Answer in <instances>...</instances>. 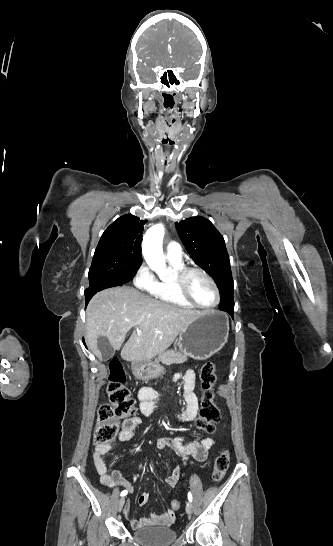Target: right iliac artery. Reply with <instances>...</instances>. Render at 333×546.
<instances>
[{
	"instance_id": "1",
	"label": "right iliac artery",
	"mask_w": 333,
	"mask_h": 546,
	"mask_svg": "<svg viewBox=\"0 0 333 546\" xmlns=\"http://www.w3.org/2000/svg\"><path fill=\"white\" fill-rule=\"evenodd\" d=\"M127 495V490H124L121 492V496H126Z\"/></svg>"
}]
</instances>
